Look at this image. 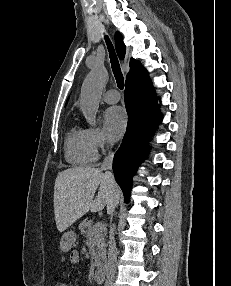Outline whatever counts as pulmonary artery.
<instances>
[{
	"label": "pulmonary artery",
	"mask_w": 231,
	"mask_h": 286,
	"mask_svg": "<svg viewBox=\"0 0 231 286\" xmlns=\"http://www.w3.org/2000/svg\"><path fill=\"white\" fill-rule=\"evenodd\" d=\"M103 99L109 104L117 103L120 100V93L116 89H109L104 93Z\"/></svg>",
	"instance_id": "e3ab8cb5"
}]
</instances>
